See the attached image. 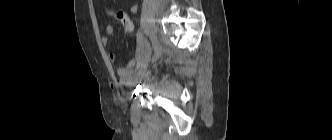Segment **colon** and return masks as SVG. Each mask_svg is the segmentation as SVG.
Here are the masks:
<instances>
[{
  "label": "colon",
  "mask_w": 332,
  "mask_h": 140,
  "mask_svg": "<svg viewBox=\"0 0 332 140\" xmlns=\"http://www.w3.org/2000/svg\"><path fill=\"white\" fill-rule=\"evenodd\" d=\"M113 17L120 23L124 32L131 33L133 31L134 25L131 18L122 11H117L112 13Z\"/></svg>",
  "instance_id": "obj_1"
}]
</instances>
